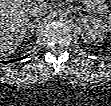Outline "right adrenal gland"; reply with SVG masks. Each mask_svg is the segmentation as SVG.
I'll list each match as a JSON object with an SVG mask.
<instances>
[{"mask_svg":"<svg viewBox=\"0 0 111 106\" xmlns=\"http://www.w3.org/2000/svg\"><path fill=\"white\" fill-rule=\"evenodd\" d=\"M39 21V18L34 19L31 21L27 26L26 35H28V39L34 35V29L36 28V23Z\"/></svg>","mask_w":111,"mask_h":106,"instance_id":"right-adrenal-gland-1","label":"right adrenal gland"}]
</instances>
